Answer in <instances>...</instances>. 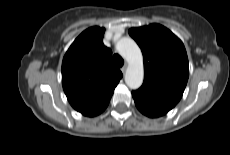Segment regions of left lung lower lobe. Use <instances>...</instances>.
Segmentation results:
<instances>
[{
    "label": "left lung lower lobe",
    "instance_id": "left-lung-lower-lobe-1",
    "mask_svg": "<svg viewBox=\"0 0 230 155\" xmlns=\"http://www.w3.org/2000/svg\"><path fill=\"white\" fill-rule=\"evenodd\" d=\"M132 96L138 110L151 118L163 116L173 108L167 103L137 91H132Z\"/></svg>",
    "mask_w": 230,
    "mask_h": 155
}]
</instances>
